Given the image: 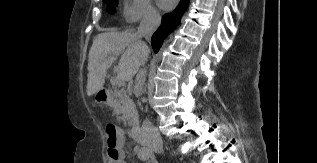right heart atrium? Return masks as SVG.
I'll list each match as a JSON object with an SVG mask.
<instances>
[{
	"instance_id": "obj_1",
	"label": "right heart atrium",
	"mask_w": 317,
	"mask_h": 163,
	"mask_svg": "<svg viewBox=\"0 0 317 163\" xmlns=\"http://www.w3.org/2000/svg\"><path fill=\"white\" fill-rule=\"evenodd\" d=\"M122 13L125 22L129 24L159 16V11L151 0H123Z\"/></svg>"
}]
</instances>
